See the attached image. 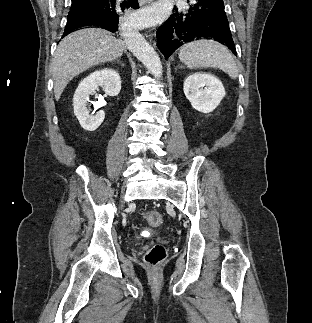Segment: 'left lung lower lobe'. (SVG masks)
<instances>
[{"label": "left lung lower lobe", "mask_w": 312, "mask_h": 323, "mask_svg": "<svg viewBox=\"0 0 312 323\" xmlns=\"http://www.w3.org/2000/svg\"><path fill=\"white\" fill-rule=\"evenodd\" d=\"M194 1L182 11L176 9L157 30V45L165 58L183 43L201 38H213L236 55L223 0Z\"/></svg>", "instance_id": "0a47b994"}]
</instances>
